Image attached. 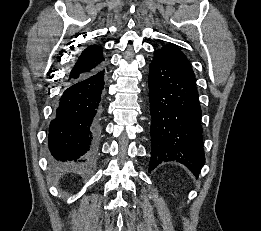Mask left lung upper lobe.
Listing matches in <instances>:
<instances>
[{"mask_svg": "<svg viewBox=\"0 0 261 231\" xmlns=\"http://www.w3.org/2000/svg\"><path fill=\"white\" fill-rule=\"evenodd\" d=\"M154 54L161 56L175 70L195 81V75L187 57L175 45H165L161 49L156 50Z\"/></svg>", "mask_w": 261, "mask_h": 231, "instance_id": "obj_1", "label": "left lung upper lobe"}]
</instances>
